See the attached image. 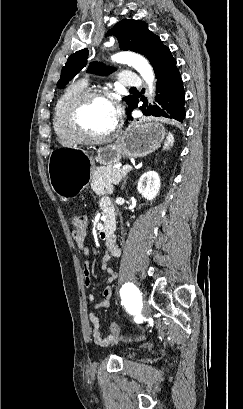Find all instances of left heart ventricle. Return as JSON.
Listing matches in <instances>:
<instances>
[{
  "mask_svg": "<svg viewBox=\"0 0 243 409\" xmlns=\"http://www.w3.org/2000/svg\"><path fill=\"white\" fill-rule=\"evenodd\" d=\"M80 120L88 134L99 135L112 129L116 122V115L109 103L91 100L83 106Z\"/></svg>",
  "mask_w": 243,
  "mask_h": 409,
  "instance_id": "1",
  "label": "left heart ventricle"
}]
</instances>
